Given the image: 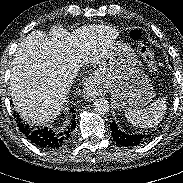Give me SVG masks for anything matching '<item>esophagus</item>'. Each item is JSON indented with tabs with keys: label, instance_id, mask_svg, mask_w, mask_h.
<instances>
[{
	"label": "esophagus",
	"instance_id": "34e87169",
	"mask_svg": "<svg viewBox=\"0 0 183 183\" xmlns=\"http://www.w3.org/2000/svg\"><path fill=\"white\" fill-rule=\"evenodd\" d=\"M84 95L87 99L101 96L105 90L98 73L91 74L84 84Z\"/></svg>",
	"mask_w": 183,
	"mask_h": 183
}]
</instances>
